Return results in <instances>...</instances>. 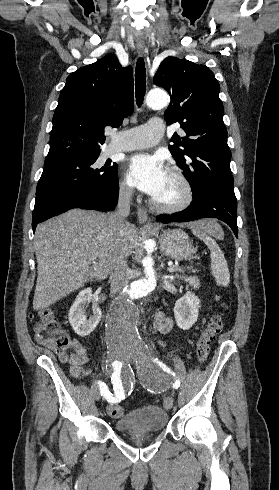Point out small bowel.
Here are the masks:
<instances>
[{
	"label": "small bowel",
	"instance_id": "1",
	"mask_svg": "<svg viewBox=\"0 0 279 490\" xmlns=\"http://www.w3.org/2000/svg\"><path fill=\"white\" fill-rule=\"evenodd\" d=\"M154 329L156 332L165 334L173 329V321L163 313L156 314L154 319ZM72 352L58 353V359L69 367L70 374L75 378H84L91 373L88 367V351L78 340L74 339Z\"/></svg>",
	"mask_w": 279,
	"mask_h": 490
}]
</instances>
